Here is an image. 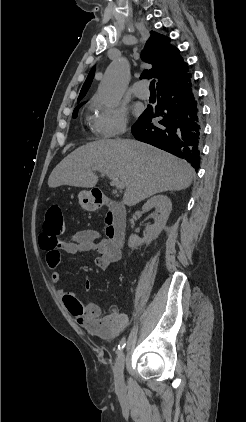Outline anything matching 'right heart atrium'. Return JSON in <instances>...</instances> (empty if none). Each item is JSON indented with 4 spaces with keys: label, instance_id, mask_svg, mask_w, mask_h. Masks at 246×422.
<instances>
[{
    "label": "right heart atrium",
    "instance_id": "obj_1",
    "mask_svg": "<svg viewBox=\"0 0 246 422\" xmlns=\"http://www.w3.org/2000/svg\"><path fill=\"white\" fill-rule=\"evenodd\" d=\"M91 129L101 139H111L123 134L127 129L126 112L119 107H109L94 101Z\"/></svg>",
    "mask_w": 246,
    "mask_h": 422
}]
</instances>
